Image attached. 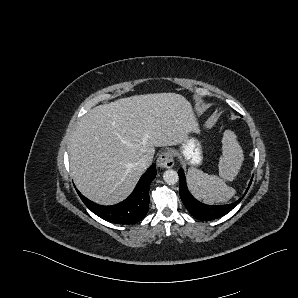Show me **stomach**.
<instances>
[{
    "instance_id": "obj_1",
    "label": "stomach",
    "mask_w": 298,
    "mask_h": 298,
    "mask_svg": "<svg viewBox=\"0 0 298 298\" xmlns=\"http://www.w3.org/2000/svg\"><path fill=\"white\" fill-rule=\"evenodd\" d=\"M198 131H190L184 142L175 150V156L189 167H201L204 162V143L196 135Z\"/></svg>"
}]
</instances>
